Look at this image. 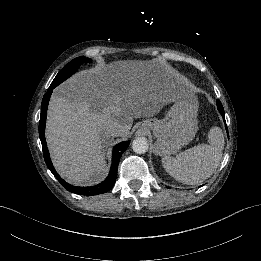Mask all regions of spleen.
<instances>
[{
	"label": "spleen",
	"mask_w": 261,
	"mask_h": 261,
	"mask_svg": "<svg viewBox=\"0 0 261 261\" xmlns=\"http://www.w3.org/2000/svg\"><path fill=\"white\" fill-rule=\"evenodd\" d=\"M209 143H200L180 152L176 157H162L165 171L175 180L189 185H197L210 177L222 158L224 137L222 131L211 128Z\"/></svg>",
	"instance_id": "3e777b00"
}]
</instances>
